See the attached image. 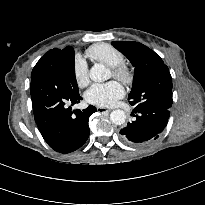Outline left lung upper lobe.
<instances>
[{
	"label": "left lung upper lobe",
	"instance_id": "left-lung-upper-lobe-1",
	"mask_svg": "<svg viewBox=\"0 0 205 205\" xmlns=\"http://www.w3.org/2000/svg\"><path fill=\"white\" fill-rule=\"evenodd\" d=\"M112 45L135 67L129 103L135 107L169 109L172 105V78L162 59L139 42L114 41Z\"/></svg>",
	"mask_w": 205,
	"mask_h": 205
}]
</instances>
